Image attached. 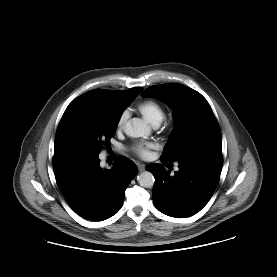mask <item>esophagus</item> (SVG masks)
Masks as SVG:
<instances>
[{
  "instance_id": "esophagus-1",
  "label": "esophagus",
  "mask_w": 277,
  "mask_h": 277,
  "mask_svg": "<svg viewBox=\"0 0 277 277\" xmlns=\"http://www.w3.org/2000/svg\"><path fill=\"white\" fill-rule=\"evenodd\" d=\"M138 169H139V171H144L145 170V165L144 164H138Z\"/></svg>"
}]
</instances>
